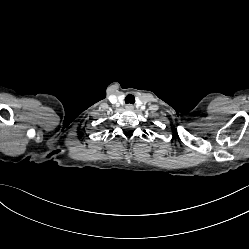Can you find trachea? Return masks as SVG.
Masks as SVG:
<instances>
[{
	"label": "trachea",
	"mask_w": 249,
	"mask_h": 249,
	"mask_svg": "<svg viewBox=\"0 0 249 249\" xmlns=\"http://www.w3.org/2000/svg\"><path fill=\"white\" fill-rule=\"evenodd\" d=\"M125 103L127 104H134L135 103V97L132 94H129L125 98Z\"/></svg>",
	"instance_id": "1"
}]
</instances>
